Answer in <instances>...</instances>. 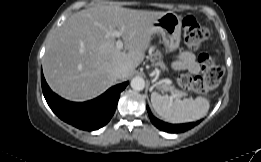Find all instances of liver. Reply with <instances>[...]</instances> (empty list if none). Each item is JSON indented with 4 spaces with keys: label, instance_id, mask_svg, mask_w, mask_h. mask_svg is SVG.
<instances>
[{
    "label": "liver",
    "instance_id": "6515ba94",
    "mask_svg": "<svg viewBox=\"0 0 261 162\" xmlns=\"http://www.w3.org/2000/svg\"><path fill=\"white\" fill-rule=\"evenodd\" d=\"M165 13L100 5L72 14L48 43L42 64L47 83L69 100L97 97L134 73L151 44L152 23ZM116 29L127 52L109 34ZM121 65L128 73L117 78L113 70Z\"/></svg>",
    "mask_w": 261,
    "mask_h": 162
}]
</instances>
